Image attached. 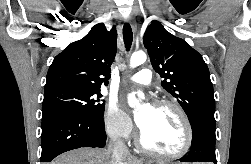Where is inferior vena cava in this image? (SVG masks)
I'll return each instance as SVG.
<instances>
[{
	"mask_svg": "<svg viewBox=\"0 0 251 164\" xmlns=\"http://www.w3.org/2000/svg\"><path fill=\"white\" fill-rule=\"evenodd\" d=\"M108 149L112 151L114 164H121V161L129 154L125 143L117 137L111 138Z\"/></svg>",
	"mask_w": 251,
	"mask_h": 164,
	"instance_id": "obj_1",
	"label": "inferior vena cava"
}]
</instances>
